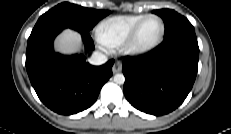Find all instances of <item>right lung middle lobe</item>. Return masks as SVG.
Listing matches in <instances>:
<instances>
[{"label": "right lung middle lobe", "mask_w": 231, "mask_h": 134, "mask_svg": "<svg viewBox=\"0 0 231 134\" xmlns=\"http://www.w3.org/2000/svg\"><path fill=\"white\" fill-rule=\"evenodd\" d=\"M110 11H101L64 2L43 14L34 28L47 23H64L79 30L89 31Z\"/></svg>", "instance_id": "obj_1"}]
</instances>
